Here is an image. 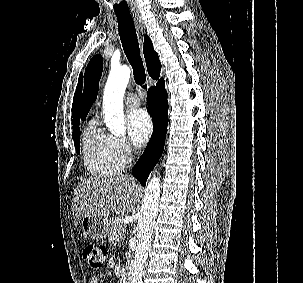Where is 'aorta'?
Wrapping results in <instances>:
<instances>
[{
    "mask_svg": "<svg viewBox=\"0 0 303 283\" xmlns=\"http://www.w3.org/2000/svg\"><path fill=\"white\" fill-rule=\"evenodd\" d=\"M129 79L130 68L128 66L114 67L111 69L105 85L103 95L104 121L108 130L114 135L125 133L123 98ZM160 187V179L155 175L146 186L137 225V246L130 265L128 283H143V269L148 258L157 216Z\"/></svg>",
    "mask_w": 303,
    "mask_h": 283,
    "instance_id": "obj_1",
    "label": "aorta"
}]
</instances>
